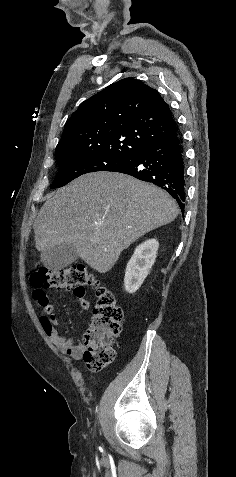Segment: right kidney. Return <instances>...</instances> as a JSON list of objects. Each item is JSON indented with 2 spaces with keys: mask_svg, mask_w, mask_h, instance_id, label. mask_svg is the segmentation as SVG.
<instances>
[{
  "mask_svg": "<svg viewBox=\"0 0 236 477\" xmlns=\"http://www.w3.org/2000/svg\"><path fill=\"white\" fill-rule=\"evenodd\" d=\"M158 246V241L151 239L135 249L127 264L124 278L125 290L128 293H135L144 282L155 262Z\"/></svg>",
  "mask_w": 236,
  "mask_h": 477,
  "instance_id": "ca27d5eb",
  "label": "right kidney"
}]
</instances>
